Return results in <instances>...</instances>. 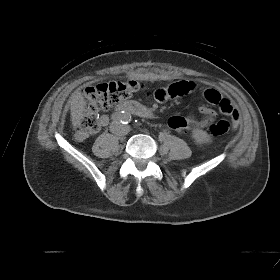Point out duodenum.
<instances>
[{"instance_id": "obj_1", "label": "duodenum", "mask_w": 280, "mask_h": 280, "mask_svg": "<svg viewBox=\"0 0 280 280\" xmlns=\"http://www.w3.org/2000/svg\"><path fill=\"white\" fill-rule=\"evenodd\" d=\"M120 112L132 113L145 118L153 117L152 110L135 101H126L120 104L116 109V113Z\"/></svg>"}]
</instances>
